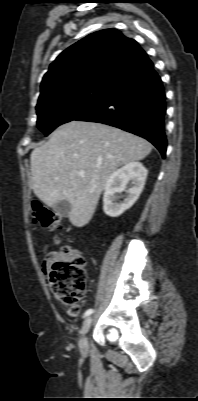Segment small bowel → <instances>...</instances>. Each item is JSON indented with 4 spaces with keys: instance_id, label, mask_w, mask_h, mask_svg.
Returning a JSON list of instances; mask_svg holds the SVG:
<instances>
[{
    "instance_id": "small-bowel-1",
    "label": "small bowel",
    "mask_w": 198,
    "mask_h": 401,
    "mask_svg": "<svg viewBox=\"0 0 198 401\" xmlns=\"http://www.w3.org/2000/svg\"><path fill=\"white\" fill-rule=\"evenodd\" d=\"M44 258L41 264V270L44 276H48L49 273L51 272L52 266L56 261L59 260H67V259H72L76 256H79L81 252L79 250H72L70 254L65 255L61 252H47L46 250L44 251Z\"/></svg>"
}]
</instances>
